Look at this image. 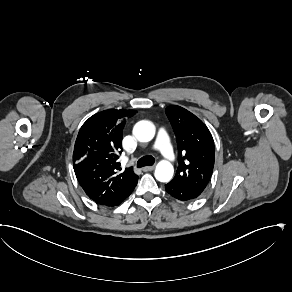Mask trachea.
I'll list each match as a JSON object with an SVG mask.
<instances>
[{"label": "trachea", "instance_id": "1", "mask_svg": "<svg viewBox=\"0 0 292 292\" xmlns=\"http://www.w3.org/2000/svg\"><path fill=\"white\" fill-rule=\"evenodd\" d=\"M155 163V158L152 157L151 155H147L144 157H141L138 161H137V168H141V167H145V166H152Z\"/></svg>", "mask_w": 292, "mask_h": 292}]
</instances>
